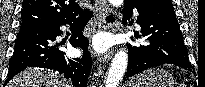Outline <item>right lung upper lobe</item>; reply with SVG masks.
Wrapping results in <instances>:
<instances>
[{"instance_id":"right-lung-upper-lobe-1","label":"right lung upper lobe","mask_w":205,"mask_h":87,"mask_svg":"<svg viewBox=\"0 0 205 87\" xmlns=\"http://www.w3.org/2000/svg\"><path fill=\"white\" fill-rule=\"evenodd\" d=\"M81 11L75 0H23L20 31L61 23Z\"/></svg>"}]
</instances>
